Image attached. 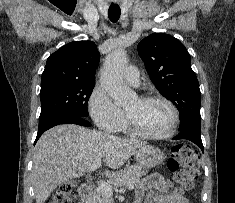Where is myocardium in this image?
<instances>
[{
	"label": "myocardium",
	"instance_id": "f54148a6",
	"mask_svg": "<svg viewBox=\"0 0 235 203\" xmlns=\"http://www.w3.org/2000/svg\"><path fill=\"white\" fill-rule=\"evenodd\" d=\"M139 99L143 101H160V102L165 103L169 107L172 113V120H171L170 126L165 132L160 133V134H151V133L144 132L143 130L137 127V125L133 122L130 115L126 111L125 123H126L127 130L135 136L148 139V140H164L173 136L179 125V112H178L176 105L168 98L164 96H160V95H142L139 97Z\"/></svg>",
	"mask_w": 235,
	"mask_h": 203
}]
</instances>
